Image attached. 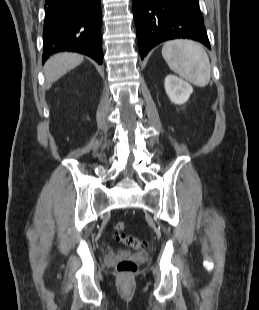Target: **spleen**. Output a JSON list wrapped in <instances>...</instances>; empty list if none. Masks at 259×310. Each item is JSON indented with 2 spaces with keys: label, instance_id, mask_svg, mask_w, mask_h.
Wrapping results in <instances>:
<instances>
[{
  "label": "spleen",
  "instance_id": "spleen-1",
  "mask_svg": "<svg viewBox=\"0 0 259 310\" xmlns=\"http://www.w3.org/2000/svg\"><path fill=\"white\" fill-rule=\"evenodd\" d=\"M162 56L169 68L183 79L205 87L211 77L209 57L201 44L191 40H172L164 44Z\"/></svg>",
  "mask_w": 259,
  "mask_h": 310
}]
</instances>
